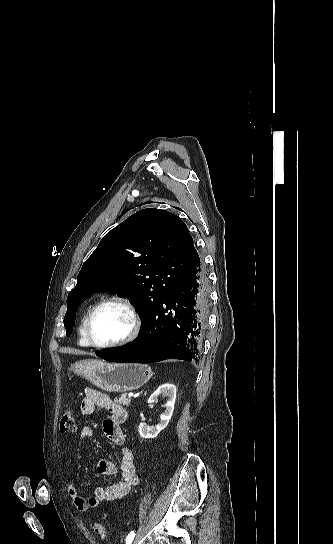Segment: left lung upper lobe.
Returning a JSON list of instances; mask_svg holds the SVG:
<instances>
[{
  "label": "left lung upper lobe",
  "instance_id": "left-lung-upper-lobe-1",
  "mask_svg": "<svg viewBox=\"0 0 333 544\" xmlns=\"http://www.w3.org/2000/svg\"><path fill=\"white\" fill-rule=\"evenodd\" d=\"M198 262L193 239L178 216L152 208L136 212L109 231L83 264L67 298V335L77 307L94 292L128 294L144 320Z\"/></svg>",
  "mask_w": 333,
  "mask_h": 544
}]
</instances>
